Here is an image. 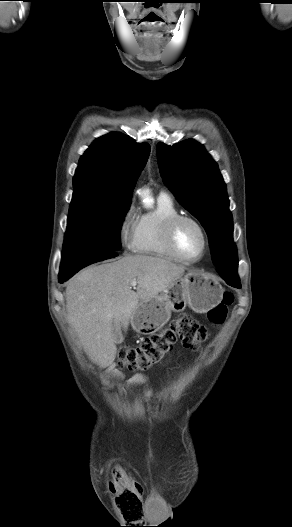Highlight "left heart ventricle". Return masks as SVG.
<instances>
[{"instance_id":"obj_1","label":"left heart ventricle","mask_w":292,"mask_h":527,"mask_svg":"<svg viewBox=\"0 0 292 527\" xmlns=\"http://www.w3.org/2000/svg\"><path fill=\"white\" fill-rule=\"evenodd\" d=\"M176 246L182 256L197 258L203 248V238L199 229L191 222H182L175 234Z\"/></svg>"}]
</instances>
